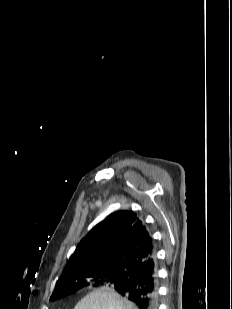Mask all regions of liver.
<instances>
[{"instance_id": "1", "label": "liver", "mask_w": 232, "mask_h": 309, "mask_svg": "<svg viewBox=\"0 0 232 309\" xmlns=\"http://www.w3.org/2000/svg\"><path fill=\"white\" fill-rule=\"evenodd\" d=\"M74 309H138L132 302L122 298L114 290L100 288L87 294Z\"/></svg>"}]
</instances>
